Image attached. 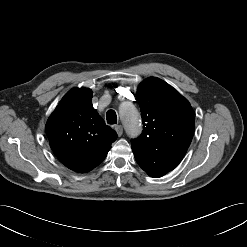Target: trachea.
<instances>
[{"instance_id":"3493384b","label":"trachea","mask_w":247,"mask_h":247,"mask_svg":"<svg viewBox=\"0 0 247 247\" xmlns=\"http://www.w3.org/2000/svg\"><path fill=\"white\" fill-rule=\"evenodd\" d=\"M107 123L108 124H116L117 123V115L114 110H108L106 114Z\"/></svg>"}]
</instances>
